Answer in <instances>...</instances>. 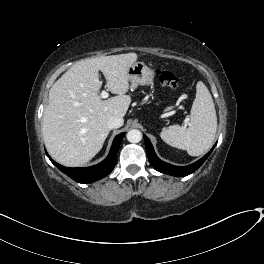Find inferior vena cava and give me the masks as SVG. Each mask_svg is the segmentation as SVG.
<instances>
[{
    "label": "inferior vena cava",
    "mask_w": 264,
    "mask_h": 264,
    "mask_svg": "<svg viewBox=\"0 0 264 264\" xmlns=\"http://www.w3.org/2000/svg\"><path fill=\"white\" fill-rule=\"evenodd\" d=\"M123 122V118L113 116L109 118L107 126L109 129H115L121 127L123 125Z\"/></svg>",
    "instance_id": "1"
}]
</instances>
